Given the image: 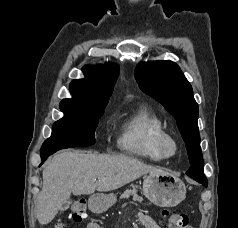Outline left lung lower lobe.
I'll return each mask as SVG.
<instances>
[{"label": "left lung lower lobe", "mask_w": 238, "mask_h": 228, "mask_svg": "<svg viewBox=\"0 0 238 228\" xmlns=\"http://www.w3.org/2000/svg\"><path fill=\"white\" fill-rule=\"evenodd\" d=\"M187 174V173H186ZM188 176L192 177L195 179L197 182L201 183L203 186L207 187L208 186V181L205 176H200V175H189Z\"/></svg>", "instance_id": "obj_1"}]
</instances>
